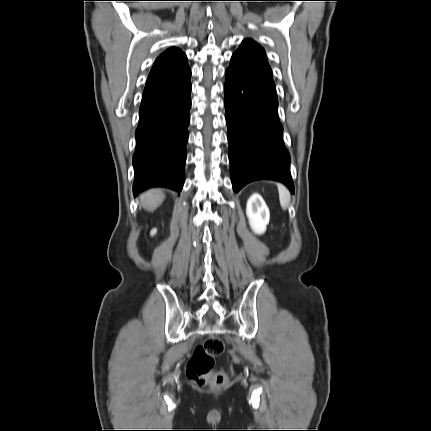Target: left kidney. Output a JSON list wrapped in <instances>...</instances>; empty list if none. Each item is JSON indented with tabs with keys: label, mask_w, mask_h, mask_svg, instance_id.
I'll list each match as a JSON object with an SVG mask.
<instances>
[{
	"label": "left kidney",
	"mask_w": 431,
	"mask_h": 431,
	"mask_svg": "<svg viewBox=\"0 0 431 431\" xmlns=\"http://www.w3.org/2000/svg\"><path fill=\"white\" fill-rule=\"evenodd\" d=\"M246 214L252 230L257 234L263 233L266 229V225L269 223L270 213L263 198L259 194L254 193L249 198Z\"/></svg>",
	"instance_id": "5707ae66"
}]
</instances>
